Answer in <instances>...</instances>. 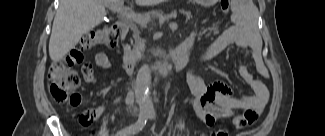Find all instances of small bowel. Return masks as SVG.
<instances>
[{
    "label": "small bowel",
    "instance_id": "c3829d8e",
    "mask_svg": "<svg viewBox=\"0 0 325 136\" xmlns=\"http://www.w3.org/2000/svg\"><path fill=\"white\" fill-rule=\"evenodd\" d=\"M194 39V37H191L189 41L193 42ZM229 46H235L241 52L252 47V38L241 23L224 30L197 57L187 77L190 94L182 99V103L191 106L204 124L211 129L214 128L219 118H231L235 129H243L257 120L269 100V91L266 85L255 78L241 61L238 64L239 73L252 89L253 95H239L231 86L225 83L218 82L206 85L203 82L199 75L200 65ZM66 54L67 57L62 61L66 64L67 69L78 68L79 64H84L82 68L84 80L88 83L95 82L91 58L84 57L83 53H81L80 44H73L72 48H67ZM94 65L102 69L111 68L110 60L103 52L95 55ZM258 69L262 75H266L261 66L258 65ZM77 96L79 102L72 106L80 104L81 98L79 95ZM118 102L119 100L116 101V103ZM105 110L104 106L86 109L79 116V122L86 126L102 116ZM236 111H242V114L234 115ZM218 133L222 134L220 136H228L226 129L212 130L210 135L217 136Z\"/></svg>",
    "mask_w": 325,
    "mask_h": 136
}]
</instances>
